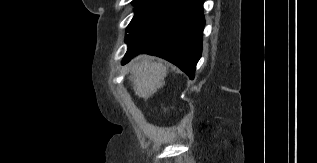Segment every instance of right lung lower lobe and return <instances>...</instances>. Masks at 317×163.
<instances>
[{
    "label": "right lung lower lobe",
    "mask_w": 317,
    "mask_h": 163,
    "mask_svg": "<svg viewBox=\"0 0 317 163\" xmlns=\"http://www.w3.org/2000/svg\"><path fill=\"white\" fill-rule=\"evenodd\" d=\"M203 0H178L159 19L127 38L123 64L138 53L166 59L191 79L202 52Z\"/></svg>",
    "instance_id": "1"
}]
</instances>
